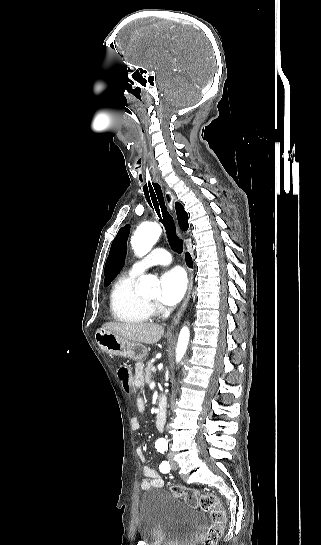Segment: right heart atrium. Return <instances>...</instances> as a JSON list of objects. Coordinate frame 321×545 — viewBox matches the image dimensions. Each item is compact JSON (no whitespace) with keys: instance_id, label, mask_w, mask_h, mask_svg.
Here are the masks:
<instances>
[{"instance_id":"obj_1","label":"right heart atrium","mask_w":321,"mask_h":545,"mask_svg":"<svg viewBox=\"0 0 321 545\" xmlns=\"http://www.w3.org/2000/svg\"><path fill=\"white\" fill-rule=\"evenodd\" d=\"M152 309H153L155 312L158 311L157 307H153Z\"/></svg>"}]
</instances>
